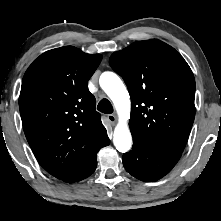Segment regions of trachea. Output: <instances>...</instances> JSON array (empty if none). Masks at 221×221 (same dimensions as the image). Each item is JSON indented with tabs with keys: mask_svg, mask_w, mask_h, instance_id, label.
Returning <instances> with one entry per match:
<instances>
[{
	"mask_svg": "<svg viewBox=\"0 0 221 221\" xmlns=\"http://www.w3.org/2000/svg\"><path fill=\"white\" fill-rule=\"evenodd\" d=\"M97 109L102 112V113H105V114H110L113 112V107L110 103V101L106 98L102 99L98 106H97Z\"/></svg>",
	"mask_w": 221,
	"mask_h": 221,
	"instance_id": "3493384b",
	"label": "trachea"
}]
</instances>
